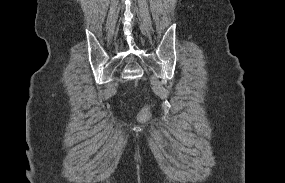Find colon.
<instances>
[{
  "instance_id": "1",
  "label": "colon",
  "mask_w": 285,
  "mask_h": 183,
  "mask_svg": "<svg viewBox=\"0 0 285 183\" xmlns=\"http://www.w3.org/2000/svg\"><path fill=\"white\" fill-rule=\"evenodd\" d=\"M150 118V110L148 108H144L140 111L138 115V119L142 122L149 120Z\"/></svg>"
}]
</instances>
